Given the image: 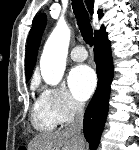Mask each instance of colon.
Segmentation results:
<instances>
[{
  "label": "colon",
  "mask_w": 139,
  "mask_h": 150,
  "mask_svg": "<svg viewBox=\"0 0 139 150\" xmlns=\"http://www.w3.org/2000/svg\"><path fill=\"white\" fill-rule=\"evenodd\" d=\"M18 150H26L24 147H19Z\"/></svg>",
  "instance_id": "colon-1"
}]
</instances>
